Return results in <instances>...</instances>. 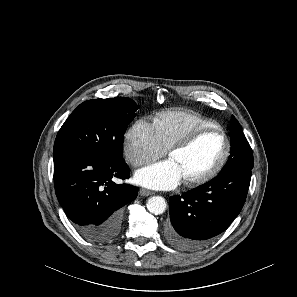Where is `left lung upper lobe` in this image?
Returning <instances> with one entry per match:
<instances>
[{"label": "left lung upper lobe", "instance_id": "obj_1", "mask_svg": "<svg viewBox=\"0 0 297 297\" xmlns=\"http://www.w3.org/2000/svg\"><path fill=\"white\" fill-rule=\"evenodd\" d=\"M230 143V155L220 173H245L251 171L253 168V152L239 122L234 116L231 117L230 122Z\"/></svg>", "mask_w": 297, "mask_h": 297}]
</instances>
